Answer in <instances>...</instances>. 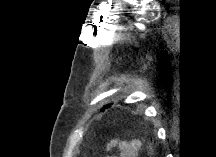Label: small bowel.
Instances as JSON below:
<instances>
[{
	"mask_svg": "<svg viewBox=\"0 0 216 157\" xmlns=\"http://www.w3.org/2000/svg\"><path fill=\"white\" fill-rule=\"evenodd\" d=\"M142 147V143L138 139L130 141L113 139L107 145V151L117 149L120 157H137Z\"/></svg>",
	"mask_w": 216,
	"mask_h": 157,
	"instance_id": "c3829d8e",
	"label": "small bowel"
}]
</instances>
